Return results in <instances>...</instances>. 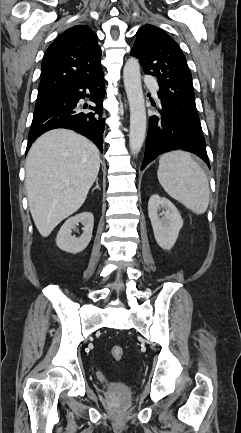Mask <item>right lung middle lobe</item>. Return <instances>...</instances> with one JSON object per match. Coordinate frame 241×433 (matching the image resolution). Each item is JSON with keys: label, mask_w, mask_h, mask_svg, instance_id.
<instances>
[{"label": "right lung middle lobe", "mask_w": 241, "mask_h": 433, "mask_svg": "<svg viewBox=\"0 0 241 433\" xmlns=\"http://www.w3.org/2000/svg\"><path fill=\"white\" fill-rule=\"evenodd\" d=\"M53 94L40 95L37 97L35 108L45 103L48 99L52 97Z\"/></svg>", "instance_id": "right-lung-middle-lobe-1"}]
</instances>
